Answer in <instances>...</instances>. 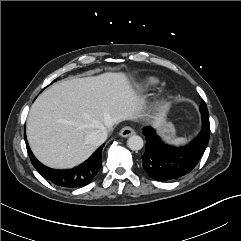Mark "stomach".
<instances>
[{"label":"stomach","mask_w":241,"mask_h":241,"mask_svg":"<svg viewBox=\"0 0 241 241\" xmlns=\"http://www.w3.org/2000/svg\"><path fill=\"white\" fill-rule=\"evenodd\" d=\"M158 134L165 140H170L175 135V128L171 122L163 120L158 126Z\"/></svg>","instance_id":"stomach-1"}]
</instances>
